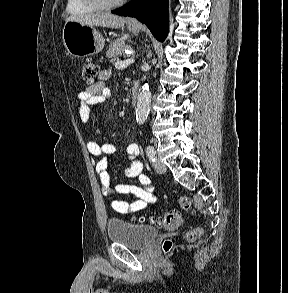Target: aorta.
Listing matches in <instances>:
<instances>
[{
	"mask_svg": "<svg viewBox=\"0 0 288 293\" xmlns=\"http://www.w3.org/2000/svg\"><path fill=\"white\" fill-rule=\"evenodd\" d=\"M151 92L148 83L142 85L138 94V102L136 107V121L138 124H143L150 110Z\"/></svg>",
	"mask_w": 288,
	"mask_h": 293,
	"instance_id": "aorta-1",
	"label": "aorta"
}]
</instances>
